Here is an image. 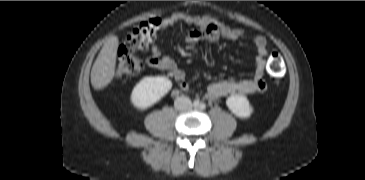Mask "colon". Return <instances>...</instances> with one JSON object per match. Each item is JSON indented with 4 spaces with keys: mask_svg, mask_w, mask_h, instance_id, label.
<instances>
[{
    "mask_svg": "<svg viewBox=\"0 0 365 180\" xmlns=\"http://www.w3.org/2000/svg\"><path fill=\"white\" fill-rule=\"evenodd\" d=\"M161 27L157 18L146 20L135 26L119 47L116 59V73L120 76L138 74L143 67V60L138 51L144 50ZM267 68L274 77H280L285 71L284 60L279 52L273 51L268 57Z\"/></svg>",
    "mask_w": 365,
    "mask_h": 180,
    "instance_id": "obj_1",
    "label": "colon"
}]
</instances>
